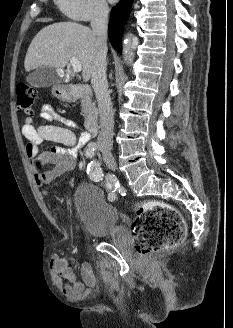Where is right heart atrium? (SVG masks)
Returning <instances> with one entry per match:
<instances>
[{
	"label": "right heart atrium",
	"instance_id": "1",
	"mask_svg": "<svg viewBox=\"0 0 233 328\" xmlns=\"http://www.w3.org/2000/svg\"><path fill=\"white\" fill-rule=\"evenodd\" d=\"M56 2L62 13L77 21L101 18L108 12L106 0H56Z\"/></svg>",
	"mask_w": 233,
	"mask_h": 328
}]
</instances>
